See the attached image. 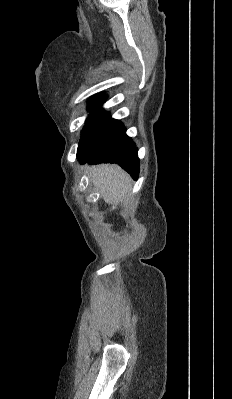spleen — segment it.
I'll return each instance as SVG.
<instances>
[{
    "label": "spleen",
    "mask_w": 232,
    "mask_h": 399,
    "mask_svg": "<svg viewBox=\"0 0 232 399\" xmlns=\"http://www.w3.org/2000/svg\"><path fill=\"white\" fill-rule=\"evenodd\" d=\"M90 180L106 203H121L127 200L131 178L119 166H96L90 172Z\"/></svg>",
    "instance_id": "3e777b00"
}]
</instances>
